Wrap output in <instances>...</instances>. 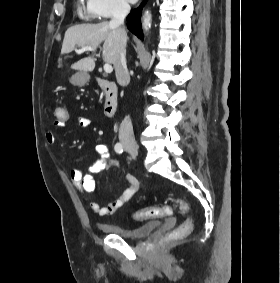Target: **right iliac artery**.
<instances>
[{
  "label": "right iliac artery",
  "instance_id": "1",
  "mask_svg": "<svg viewBox=\"0 0 280 283\" xmlns=\"http://www.w3.org/2000/svg\"><path fill=\"white\" fill-rule=\"evenodd\" d=\"M115 151L118 153V154H121L123 152V146L121 143H117L115 145Z\"/></svg>",
  "mask_w": 280,
  "mask_h": 283
}]
</instances>
